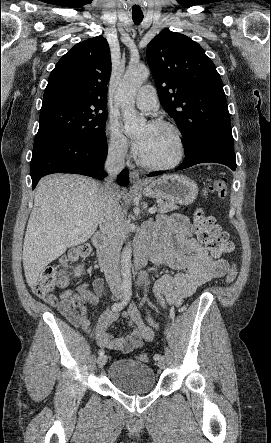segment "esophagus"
Listing matches in <instances>:
<instances>
[{
    "label": "esophagus",
    "instance_id": "1",
    "mask_svg": "<svg viewBox=\"0 0 271 443\" xmlns=\"http://www.w3.org/2000/svg\"><path fill=\"white\" fill-rule=\"evenodd\" d=\"M130 183H132V185H139V186L146 184V182L140 180L139 172L135 170L130 172Z\"/></svg>",
    "mask_w": 271,
    "mask_h": 443
}]
</instances>
